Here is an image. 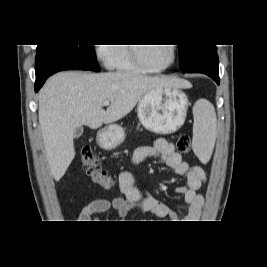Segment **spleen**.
I'll list each match as a JSON object with an SVG mask.
<instances>
[{
  "mask_svg": "<svg viewBox=\"0 0 267 267\" xmlns=\"http://www.w3.org/2000/svg\"><path fill=\"white\" fill-rule=\"evenodd\" d=\"M217 119L214 108L204 103L195 114L192 147L202 162L212 154L216 139Z\"/></svg>",
  "mask_w": 267,
  "mask_h": 267,
  "instance_id": "1",
  "label": "spleen"
}]
</instances>
